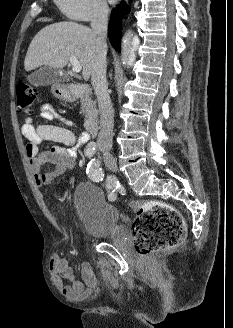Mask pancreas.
I'll return each mask as SVG.
<instances>
[{
	"label": "pancreas",
	"mask_w": 233,
	"mask_h": 328,
	"mask_svg": "<svg viewBox=\"0 0 233 328\" xmlns=\"http://www.w3.org/2000/svg\"><path fill=\"white\" fill-rule=\"evenodd\" d=\"M80 102L82 106V114L86 117H92L97 114V109L95 107V101L89 95H82L80 97Z\"/></svg>",
	"instance_id": "pancreas-1"
}]
</instances>
